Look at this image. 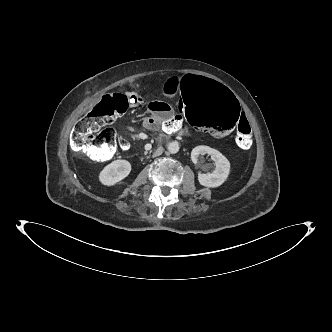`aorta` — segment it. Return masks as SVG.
<instances>
[{"label": "aorta", "mask_w": 332, "mask_h": 332, "mask_svg": "<svg viewBox=\"0 0 332 332\" xmlns=\"http://www.w3.org/2000/svg\"><path fill=\"white\" fill-rule=\"evenodd\" d=\"M168 151L171 154H176L179 151V144H178V142H171V143H169V145H168Z\"/></svg>", "instance_id": "aorta-1"}]
</instances>
